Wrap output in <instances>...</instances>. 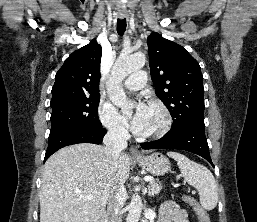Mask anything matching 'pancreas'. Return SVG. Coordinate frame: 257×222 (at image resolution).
Masks as SVG:
<instances>
[{
  "label": "pancreas",
  "mask_w": 257,
  "mask_h": 222,
  "mask_svg": "<svg viewBox=\"0 0 257 222\" xmlns=\"http://www.w3.org/2000/svg\"><path fill=\"white\" fill-rule=\"evenodd\" d=\"M161 188H162L161 184H159L153 179L152 181H150L148 185L149 194L151 196L157 195L160 192Z\"/></svg>",
  "instance_id": "pancreas-1"
}]
</instances>
